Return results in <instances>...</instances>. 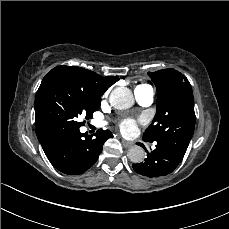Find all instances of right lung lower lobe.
Masks as SVG:
<instances>
[{"label": "right lung lower lobe", "instance_id": "98d812e1", "mask_svg": "<svg viewBox=\"0 0 229 229\" xmlns=\"http://www.w3.org/2000/svg\"><path fill=\"white\" fill-rule=\"evenodd\" d=\"M95 137H87L78 130L70 131L44 152L50 163L60 172L78 175L88 170L98 159L104 142L113 137L109 130H98Z\"/></svg>", "mask_w": 229, "mask_h": 229}]
</instances>
